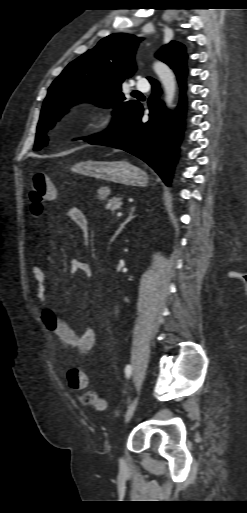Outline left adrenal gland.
Listing matches in <instances>:
<instances>
[{
    "instance_id": "obj_1",
    "label": "left adrenal gland",
    "mask_w": 247,
    "mask_h": 513,
    "mask_svg": "<svg viewBox=\"0 0 247 513\" xmlns=\"http://www.w3.org/2000/svg\"><path fill=\"white\" fill-rule=\"evenodd\" d=\"M134 212H135V206L130 208V212H129L127 219L120 224L118 230L115 232L114 236L112 237V240H115L117 238V236L122 232L125 225L136 217L133 215Z\"/></svg>"
}]
</instances>
